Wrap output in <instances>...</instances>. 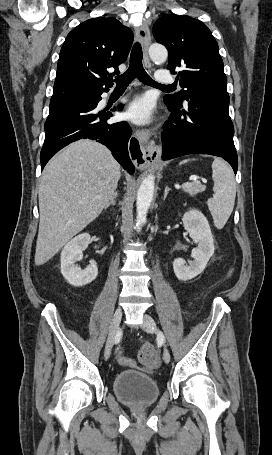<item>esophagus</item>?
<instances>
[{
  "label": "esophagus",
  "mask_w": 272,
  "mask_h": 455,
  "mask_svg": "<svg viewBox=\"0 0 272 455\" xmlns=\"http://www.w3.org/2000/svg\"><path fill=\"white\" fill-rule=\"evenodd\" d=\"M136 36L144 49V63L147 68H150L148 57V46L151 41L150 30L146 23L137 27ZM151 132L148 129H140L135 133V138L131 139L130 151L133 162L138 169H145L151 164L158 161L161 155V147L158 146L151 138ZM140 144V145H139Z\"/></svg>",
  "instance_id": "esophagus-1"
}]
</instances>
